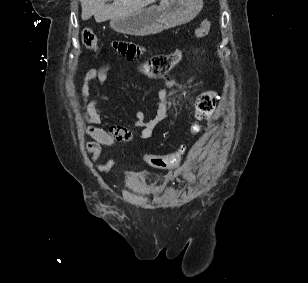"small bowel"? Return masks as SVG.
<instances>
[{
    "instance_id": "1",
    "label": "small bowel",
    "mask_w": 308,
    "mask_h": 283,
    "mask_svg": "<svg viewBox=\"0 0 308 283\" xmlns=\"http://www.w3.org/2000/svg\"><path fill=\"white\" fill-rule=\"evenodd\" d=\"M113 47L116 51L129 58H136L145 51L143 46L127 42H114ZM109 67H103L99 70L89 69L83 76V85L81 96L83 101V115L88 123L86 134L91 138L86 144V150L93 160H97L103 147L113 146L116 142H128L132 139V132L129 128L119 125H110L102 115V110L97 100H89L90 87L95 81L99 86L105 88L110 85ZM105 99V97H102ZM167 116L166 96L160 93L158 109L152 119H147L143 111H137L135 114V126L140 128V137L147 139L152 136L155 127ZM115 164L113 159L106 161L98 166L100 171H108ZM179 173L192 178V168L190 165H184L178 168Z\"/></svg>"
}]
</instances>
